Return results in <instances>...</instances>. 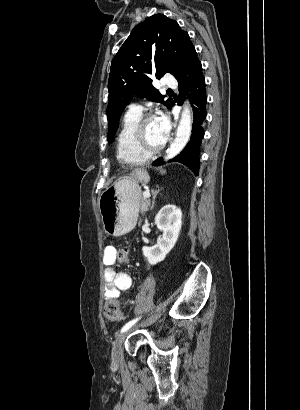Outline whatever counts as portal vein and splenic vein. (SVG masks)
I'll return each instance as SVG.
<instances>
[{
  "mask_svg": "<svg viewBox=\"0 0 300 410\" xmlns=\"http://www.w3.org/2000/svg\"><path fill=\"white\" fill-rule=\"evenodd\" d=\"M143 197H144V198H149V197H150V192H149V190H145V191L143 192Z\"/></svg>",
  "mask_w": 300,
  "mask_h": 410,
  "instance_id": "18ae733b",
  "label": "portal vein and splenic vein"
}]
</instances>
